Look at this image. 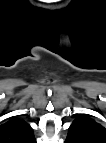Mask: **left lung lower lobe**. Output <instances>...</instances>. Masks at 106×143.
Wrapping results in <instances>:
<instances>
[{
	"instance_id": "obj_1",
	"label": "left lung lower lobe",
	"mask_w": 106,
	"mask_h": 143,
	"mask_svg": "<svg viewBox=\"0 0 106 143\" xmlns=\"http://www.w3.org/2000/svg\"><path fill=\"white\" fill-rule=\"evenodd\" d=\"M65 143H78V141L70 135H67Z\"/></svg>"
}]
</instances>
